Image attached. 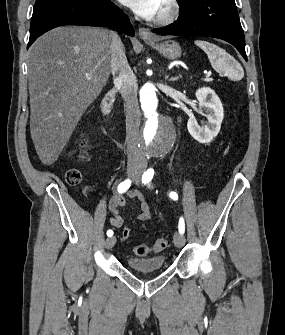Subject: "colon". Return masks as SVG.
I'll list each match as a JSON object with an SVG mask.
<instances>
[{"mask_svg":"<svg viewBox=\"0 0 285 335\" xmlns=\"http://www.w3.org/2000/svg\"><path fill=\"white\" fill-rule=\"evenodd\" d=\"M65 180L71 186H77L82 181V176L79 170L77 169H69L65 173ZM131 229L125 228L122 234V240L127 241L131 237ZM168 246V241L164 238L157 239L152 245L148 246L145 244L136 245L133 248V252L135 255L143 257L147 254L153 252L158 253L163 251Z\"/></svg>","mask_w":285,"mask_h":335,"instance_id":"5ec220e1","label":"colon"}]
</instances>
